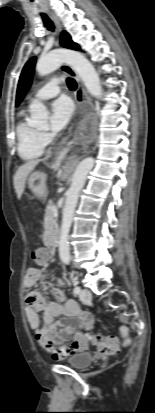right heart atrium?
I'll return each mask as SVG.
<instances>
[{
    "label": "right heart atrium",
    "instance_id": "1",
    "mask_svg": "<svg viewBox=\"0 0 155 413\" xmlns=\"http://www.w3.org/2000/svg\"><path fill=\"white\" fill-rule=\"evenodd\" d=\"M41 140L44 143V145H46L50 142V136L47 133L42 132L41 133Z\"/></svg>",
    "mask_w": 155,
    "mask_h": 413
}]
</instances>
